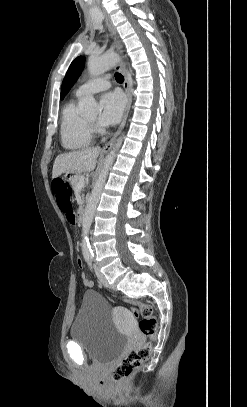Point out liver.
<instances>
[{
    "label": "liver",
    "mask_w": 247,
    "mask_h": 407,
    "mask_svg": "<svg viewBox=\"0 0 247 407\" xmlns=\"http://www.w3.org/2000/svg\"><path fill=\"white\" fill-rule=\"evenodd\" d=\"M100 152L99 147H92L57 156L53 164L52 178L55 179L62 173L81 174L93 171Z\"/></svg>",
    "instance_id": "obj_1"
}]
</instances>
